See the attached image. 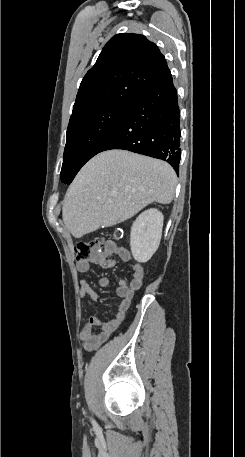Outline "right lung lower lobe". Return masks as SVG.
I'll return each instance as SVG.
<instances>
[{
  "mask_svg": "<svg viewBox=\"0 0 245 457\" xmlns=\"http://www.w3.org/2000/svg\"><path fill=\"white\" fill-rule=\"evenodd\" d=\"M180 111L172 76L145 90L100 152L124 149L167 161L179 173Z\"/></svg>",
  "mask_w": 245,
  "mask_h": 457,
  "instance_id": "right-lung-lower-lobe-1",
  "label": "right lung lower lobe"
}]
</instances>
